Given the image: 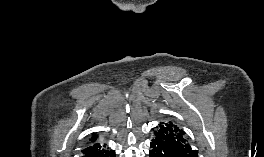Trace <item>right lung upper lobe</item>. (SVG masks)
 <instances>
[{"instance_id": "cb5924a9", "label": "right lung upper lobe", "mask_w": 264, "mask_h": 157, "mask_svg": "<svg viewBox=\"0 0 264 157\" xmlns=\"http://www.w3.org/2000/svg\"><path fill=\"white\" fill-rule=\"evenodd\" d=\"M96 138H97V135L96 134H93V136L91 137V142H94L95 140H96Z\"/></svg>"}]
</instances>
